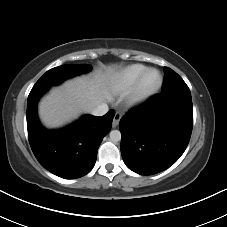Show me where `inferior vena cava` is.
Masks as SVG:
<instances>
[{
  "label": "inferior vena cava",
  "mask_w": 227,
  "mask_h": 227,
  "mask_svg": "<svg viewBox=\"0 0 227 227\" xmlns=\"http://www.w3.org/2000/svg\"><path fill=\"white\" fill-rule=\"evenodd\" d=\"M107 112H108V105L106 103H101L91 111V114L94 116H103Z\"/></svg>",
  "instance_id": "602c4592"
}]
</instances>
